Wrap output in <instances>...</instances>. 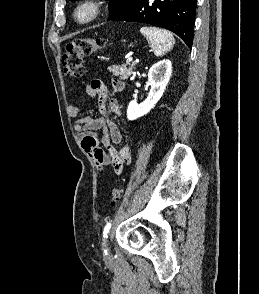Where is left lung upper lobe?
<instances>
[{
  "mask_svg": "<svg viewBox=\"0 0 259 294\" xmlns=\"http://www.w3.org/2000/svg\"><path fill=\"white\" fill-rule=\"evenodd\" d=\"M75 1V0H71ZM136 0H110L109 2V18L117 15L118 13L124 11L128 7H130L132 4L135 3Z\"/></svg>",
  "mask_w": 259,
  "mask_h": 294,
  "instance_id": "obj_1",
  "label": "left lung upper lobe"
}]
</instances>
